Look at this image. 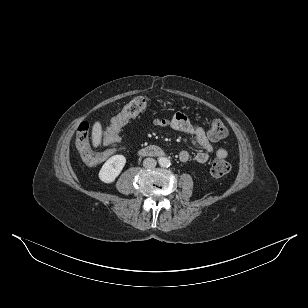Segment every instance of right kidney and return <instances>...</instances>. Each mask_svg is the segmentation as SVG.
I'll return each mask as SVG.
<instances>
[{
    "mask_svg": "<svg viewBox=\"0 0 308 308\" xmlns=\"http://www.w3.org/2000/svg\"><path fill=\"white\" fill-rule=\"evenodd\" d=\"M126 158L123 155L110 157L102 166L99 172V179L104 183H112L121 173L125 166Z\"/></svg>",
    "mask_w": 308,
    "mask_h": 308,
    "instance_id": "obj_1",
    "label": "right kidney"
}]
</instances>
